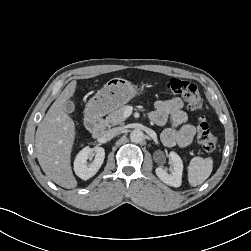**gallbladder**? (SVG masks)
<instances>
[{"mask_svg":"<svg viewBox=\"0 0 251 251\" xmlns=\"http://www.w3.org/2000/svg\"><path fill=\"white\" fill-rule=\"evenodd\" d=\"M64 110L66 113H72L74 112L75 110V105L72 101L70 100H67L65 103H64Z\"/></svg>","mask_w":251,"mask_h":251,"instance_id":"obj_1","label":"gallbladder"}]
</instances>
